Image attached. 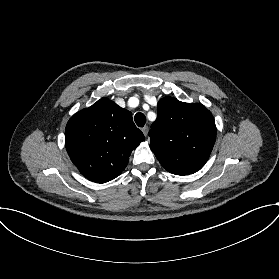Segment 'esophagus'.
Returning a JSON list of instances; mask_svg holds the SVG:
<instances>
[{"instance_id": "obj_1", "label": "esophagus", "mask_w": 279, "mask_h": 279, "mask_svg": "<svg viewBox=\"0 0 279 279\" xmlns=\"http://www.w3.org/2000/svg\"><path fill=\"white\" fill-rule=\"evenodd\" d=\"M142 132H143V134H144L145 136H147V135H148V132H149V127H148V126H144V127L142 128Z\"/></svg>"}]
</instances>
